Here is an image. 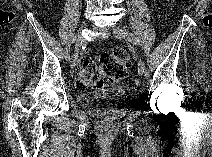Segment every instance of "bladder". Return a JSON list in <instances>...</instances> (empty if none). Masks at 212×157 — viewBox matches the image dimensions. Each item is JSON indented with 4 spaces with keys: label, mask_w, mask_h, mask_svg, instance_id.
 I'll return each instance as SVG.
<instances>
[{
    "label": "bladder",
    "mask_w": 212,
    "mask_h": 157,
    "mask_svg": "<svg viewBox=\"0 0 212 157\" xmlns=\"http://www.w3.org/2000/svg\"><path fill=\"white\" fill-rule=\"evenodd\" d=\"M137 95V90L132 87H107L79 92L77 103L98 118L117 120L125 115L126 107L134 101Z\"/></svg>",
    "instance_id": "obj_1"
}]
</instances>
